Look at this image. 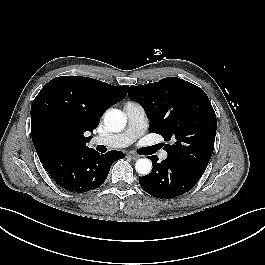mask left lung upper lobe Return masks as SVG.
<instances>
[{"instance_id": "5c2ea615", "label": "left lung upper lobe", "mask_w": 265, "mask_h": 265, "mask_svg": "<svg viewBox=\"0 0 265 265\" xmlns=\"http://www.w3.org/2000/svg\"><path fill=\"white\" fill-rule=\"evenodd\" d=\"M128 96L150 119L149 131L162 135L167 159L205 171L214 149L217 119L206 93L176 77L130 86Z\"/></svg>"}]
</instances>
